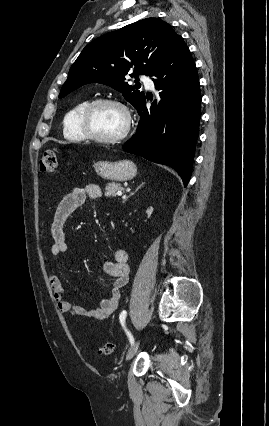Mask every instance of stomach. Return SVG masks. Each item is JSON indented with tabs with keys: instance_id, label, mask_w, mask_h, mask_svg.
<instances>
[{
	"instance_id": "stomach-1",
	"label": "stomach",
	"mask_w": 269,
	"mask_h": 426,
	"mask_svg": "<svg viewBox=\"0 0 269 426\" xmlns=\"http://www.w3.org/2000/svg\"><path fill=\"white\" fill-rule=\"evenodd\" d=\"M96 173L107 180L127 181L135 177L136 165L130 160H119L115 162L98 161L94 163Z\"/></svg>"
}]
</instances>
